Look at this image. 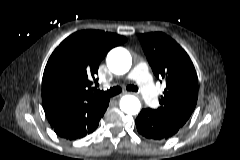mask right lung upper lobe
Here are the masks:
<instances>
[{
  "mask_svg": "<svg viewBox=\"0 0 240 160\" xmlns=\"http://www.w3.org/2000/svg\"><path fill=\"white\" fill-rule=\"evenodd\" d=\"M127 39L99 30L73 33L53 51L42 79V102L52 127L64 118L85 111L94 102L108 99L92 87L101 60Z\"/></svg>",
  "mask_w": 240,
  "mask_h": 160,
  "instance_id": "cb5924a9",
  "label": "right lung upper lobe"
}]
</instances>
